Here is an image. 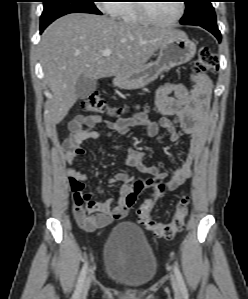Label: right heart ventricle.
Returning a JSON list of instances; mask_svg holds the SVG:
<instances>
[{"label":"right heart ventricle","mask_w":248,"mask_h":299,"mask_svg":"<svg viewBox=\"0 0 248 299\" xmlns=\"http://www.w3.org/2000/svg\"><path fill=\"white\" fill-rule=\"evenodd\" d=\"M131 2L134 1L125 0L119 3H115L113 15L126 24H146L147 22L142 18V16L138 12L137 6Z\"/></svg>","instance_id":"e07e8e85"}]
</instances>
